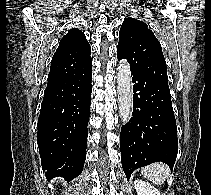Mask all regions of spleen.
I'll return each mask as SVG.
<instances>
[{
    "mask_svg": "<svg viewBox=\"0 0 211 195\" xmlns=\"http://www.w3.org/2000/svg\"><path fill=\"white\" fill-rule=\"evenodd\" d=\"M141 173L145 176V178L160 185L170 175V168L163 163H154L142 168Z\"/></svg>",
    "mask_w": 211,
    "mask_h": 195,
    "instance_id": "obj_1",
    "label": "spleen"
}]
</instances>
